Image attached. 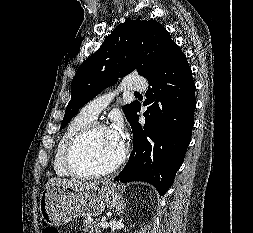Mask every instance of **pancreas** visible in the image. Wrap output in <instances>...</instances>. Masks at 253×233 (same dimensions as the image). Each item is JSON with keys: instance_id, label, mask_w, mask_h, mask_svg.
<instances>
[{"instance_id": "1", "label": "pancreas", "mask_w": 253, "mask_h": 233, "mask_svg": "<svg viewBox=\"0 0 253 233\" xmlns=\"http://www.w3.org/2000/svg\"><path fill=\"white\" fill-rule=\"evenodd\" d=\"M97 219L95 220H89V219H85L83 221V231L84 232H89V233H101L102 229L100 227V225L97 223Z\"/></svg>"}]
</instances>
